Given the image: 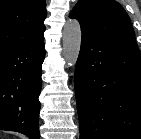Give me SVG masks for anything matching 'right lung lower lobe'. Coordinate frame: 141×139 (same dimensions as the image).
<instances>
[{"label": "right lung lower lobe", "instance_id": "obj_1", "mask_svg": "<svg viewBox=\"0 0 141 139\" xmlns=\"http://www.w3.org/2000/svg\"><path fill=\"white\" fill-rule=\"evenodd\" d=\"M44 38L0 51V130L39 136Z\"/></svg>", "mask_w": 141, "mask_h": 139}]
</instances>
